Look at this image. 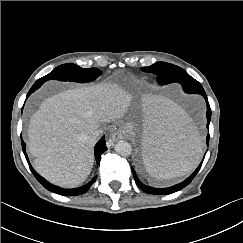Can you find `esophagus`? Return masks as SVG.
I'll return each instance as SVG.
<instances>
[{"mask_svg":"<svg viewBox=\"0 0 243 243\" xmlns=\"http://www.w3.org/2000/svg\"><path fill=\"white\" fill-rule=\"evenodd\" d=\"M127 132L123 129H118L117 131H115L111 137H110V142L112 143H115L119 140H123V139H126L127 138Z\"/></svg>","mask_w":243,"mask_h":243,"instance_id":"esophagus-1","label":"esophagus"}]
</instances>
